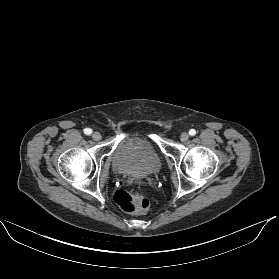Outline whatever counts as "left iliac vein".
I'll return each mask as SVG.
<instances>
[{
	"label": "left iliac vein",
	"mask_w": 279,
	"mask_h": 279,
	"mask_svg": "<svg viewBox=\"0 0 279 279\" xmlns=\"http://www.w3.org/2000/svg\"><path fill=\"white\" fill-rule=\"evenodd\" d=\"M188 138H189L188 133H182V134L180 135V140H181L182 142H186V141L188 140Z\"/></svg>",
	"instance_id": "4c4485c4"
}]
</instances>
